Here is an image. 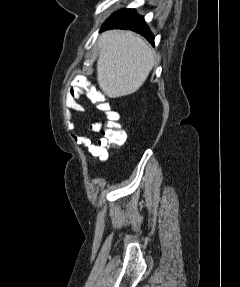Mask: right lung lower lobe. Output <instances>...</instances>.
I'll list each match as a JSON object with an SVG mask.
<instances>
[{
	"instance_id": "obj_1",
	"label": "right lung lower lobe",
	"mask_w": 240,
	"mask_h": 287,
	"mask_svg": "<svg viewBox=\"0 0 240 287\" xmlns=\"http://www.w3.org/2000/svg\"><path fill=\"white\" fill-rule=\"evenodd\" d=\"M128 29L143 35L149 42L154 44V37L145 20L139 16L134 9H122L114 13L102 26L101 30L107 29Z\"/></svg>"
}]
</instances>
